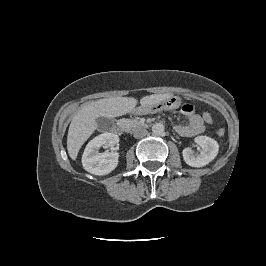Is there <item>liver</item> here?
<instances>
[{
    "mask_svg": "<svg viewBox=\"0 0 266 266\" xmlns=\"http://www.w3.org/2000/svg\"><path fill=\"white\" fill-rule=\"evenodd\" d=\"M171 94H153L141 98L142 106L164 101ZM137 100L132 97H111L92 101L84 106L73 117L67 136V150L71 159L77 158L84 142L97 128L96 119L99 117L115 118L134 110Z\"/></svg>",
    "mask_w": 266,
    "mask_h": 266,
    "instance_id": "1",
    "label": "liver"
}]
</instances>
